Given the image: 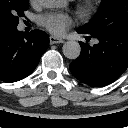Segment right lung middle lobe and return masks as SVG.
I'll list each match as a JSON object with an SVG mask.
<instances>
[{
    "label": "right lung middle lobe",
    "instance_id": "1",
    "mask_svg": "<svg viewBox=\"0 0 128 128\" xmlns=\"http://www.w3.org/2000/svg\"><path fill=\"white\" fill-rule=\"evenodd\" d=\"M28 6V0H0V30L17 28Z\"/></svg>",
    "mask_w": 128,
    "mask_h": 128
}]
</instances>
